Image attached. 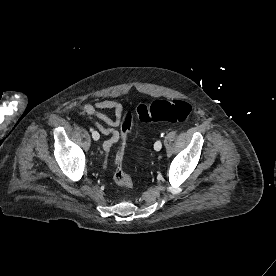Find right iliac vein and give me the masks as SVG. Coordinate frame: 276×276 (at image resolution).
I'll list each match as a JSON object with an SVG mask.
<instances>
[{
	"label": "right iliac vein",
	"instance_id": "obj_1",
	"mask_svg": "<svg viewBox=\"0 0 276 276\" xmlns=\"http://www.w3.org/2000/svg\"><path fill=\"white\" fill-rule=\"evenodd\" d=\"M98 136H99V133H98L97 131H93V132H92V137H93L94 140H98V139H97Z\"/></svg>",
	"mask_w": 276,
	"mask_h": 276
}]
</instances>
